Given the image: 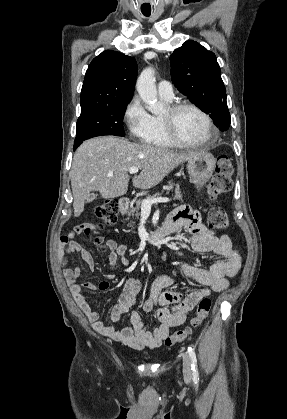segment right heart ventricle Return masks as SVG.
Segmentation results:
<instances>
[{
	"label": "right heart ventricle",
	"instance_id": "1",
	"mask_svg": "<svg viewBox=\"0 0 287 419\" xmlns=\"http://www.w3.org/2000/svg\"><path fill=\"white\" fill-rule=\"evenodd\" d=\"M142 141L145 144H149L156 147L176 146L167 138L162 125L161 118L157 116H152L151 130L148 133V135L142 139Z\"/></svg>",
	"mask_w": 287,
	"mask_h": 419
}]
</instances>
